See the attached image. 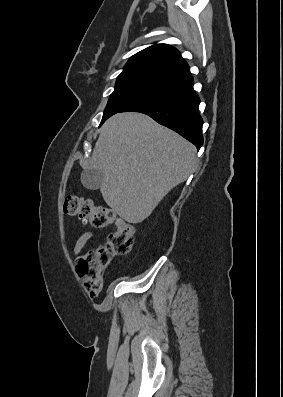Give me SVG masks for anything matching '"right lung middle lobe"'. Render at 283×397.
I'll return each instance as SVG.
<instances>
[{"mask_svg": "<svg viewBox=\"0 0 283 397\" xmlns=\"http://www.w3.org/2000/svg\"><path fill=\"white\" fill-rule=\"evenodd\" d=\"M168 85L164 80L152 78L141 72L120 74L115 90L109 97L100 126L128 105Z\"/></svg>", "mask_w": 283, "mask_h": 397, "instance_id": "dd1d6c3e", "label": "right lung middle lobe"}]
</instances>
